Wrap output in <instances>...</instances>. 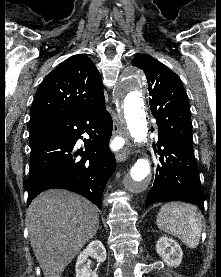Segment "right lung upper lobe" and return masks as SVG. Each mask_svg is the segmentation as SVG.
<instances>
[{
  "instance_id": "right-lung-upper-lobe-1",
  "label": "right lung upper lobe",
  "mask_w": 221,
  "mask_h": 277,
  "mask_svg": "<svg viewBox=\"0 0 221 277\" xmlns=\"http://www.w3.org/2000/svg\"><path fill=\"white\" fill-rule=\"evenodd\" d=\"M104 102L98 69L88 56L74 55L49 73L39 86L29 125L37 118L76 114Z\"/></svg>"
}]
</instances>
